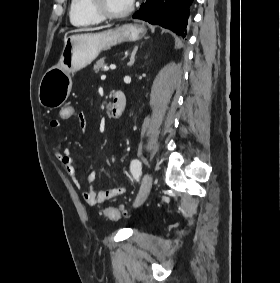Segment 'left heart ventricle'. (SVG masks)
Masks as SVG:
<instances>
[{"label": "left heart ventricle", "instance_id": "1", "mask_svg": "<svg viewBox=\"0 0 280 283\" xmlns=\"http://www.w3.org/2000/svg\"><path fill=\"white\" fill-rule=\"evenodd\" d=\"M107 9L113 13L125 11L131 4L130 0H104Z\"/></svg>", "mask_w": 280, "mask_h": 283}]
</instances>
